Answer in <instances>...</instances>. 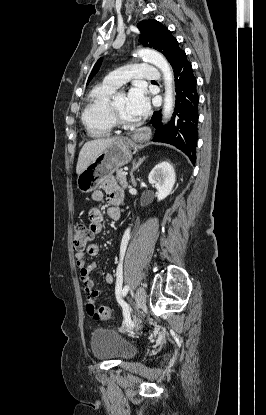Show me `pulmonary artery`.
<instances>
[{
    "label": "pulmonary artery",
    "mask_w": 266,
    "mask_h": 415,
    "mask_svg": "<svg viewBox=\"0 0 266 415\" xmlns=\"http://www.w3.org/2000/svg\"><path fill=\"white\" fill-rule=\"evenodd\" d=\"M132 77L148 81L159 80L160 72L156 67L147 63L133 64L111 72L105 77L104 82L119 87Z\"/></svg>",
    "instance_id": "pulmonary-artery-1"
}]
</instances>
